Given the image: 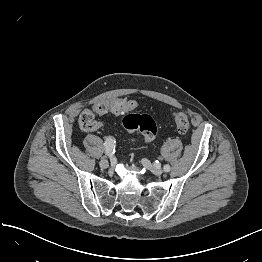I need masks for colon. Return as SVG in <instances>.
<instances>
[{
	"label": "colon",
	"mask_w": 262,
	"mask_h": 262,
	"mask_svg": "<svg viewBox=\"0 0 262 262\" xmlns=\"http://www.w3.org/2000/svg\"><path fill=\"white\" fill-rule=\"evenodd\" d=\"M136 102L126 99H115L110 102H101L92 109L83 111L79 118L83 130L91 131L101 126V121L96 115L113 113L116 115L126 114L122 119L123 127L129 132L139 131L145 138L146 143H151L157 135V127L154 120L147 114H137L132 111L136 108ZM177 130L185 134L189 130V120L185 113L176 111L173 113Z\"/></svg>",
	"instance_id": "obj_1"
}]
</instances>
